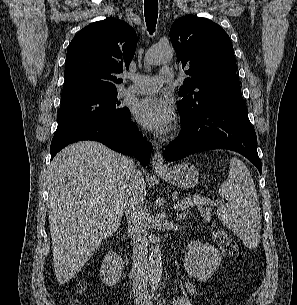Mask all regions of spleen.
<instances>
[{
    "instance_id": "3e777b00",
    "label": "spleen",
    "mask_w": 297,
    "mask_h": 305,
    "mask_svg": "<svg viewBox=\"0 0 297 305\" xmlns=\"http://www.w3.org/2000/svg\"><path fill=\"white\" fill-rule=\"evenodd\" d=\"M219 195L227 201L217 209L220 221L248 248L257 247L261 229L258 195L248 168L238 158L230 160L229 178L221 184Z\"/></svg>"
}]
</instances>
